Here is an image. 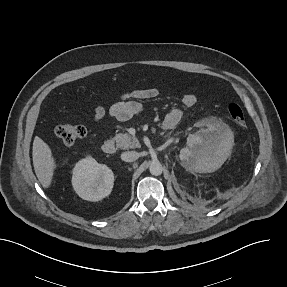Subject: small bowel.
Masks as SVG:
<instances>
[{
  "instance_id": "1",
  "label": "small bowel",
  "mask_w": 287,
  "mask_h": 287,
  "mask_svg": "<svg viewBox=\"0 0 287 287\" xmlns=\"http://www.w3.org/2000/svg\"><path fill=\"white\" fill-rule=\"evenodd\" d=\"M158 90L154 87L135 89L124 93L110 108L111 116L120 121H126L137 115L141 110V101L155 98ZM197 98L193 93H185L182 96V103L186 107L196 104ZM106 115L105 108L99 106L94 110L95 121H100ZM183 112L179 108L171 109L164 117L162 127L164 129L174 128L181 120Z\"/></svg>"
}]
</instances>
